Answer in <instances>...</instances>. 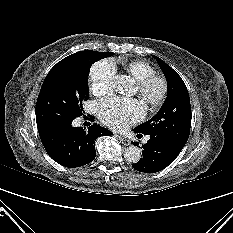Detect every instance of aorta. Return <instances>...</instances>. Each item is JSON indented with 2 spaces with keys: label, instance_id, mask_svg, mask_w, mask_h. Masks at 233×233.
<instances>
[{
  "label": "aorta",
  "instance_id": "aorta-1",
  "mask_svg": "<svg viewBox=\"0 0 233 233\" xmlns=\"http://www.w3.org/2000/svg\"><path fill=\"white\" fill-rule=\"evenodd\" d=\"M113 87L116 92L128 95L132 91L133 81L129 76L117 75L114 77ZM124 157L129 163H137L141 158V149L131 145L125 149Z\"/></svg>",
  "mask_w": 233,
  "mask_h": 233
}]
</instances>
